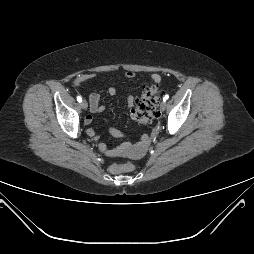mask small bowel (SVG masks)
<instances>
[{"label": "small bowel", "mask_w": 254, "mask_h": 254, "mask_svg": "<svg viewBox=\"0 0 254 254\" xmlns=\"http://www.w3.org/2000/svg\"><path fill=\"white\" fill-rule=\"evenodd\" d=\"M124 76L128 79L134 78L135 73L133 71H125L124 72ZM96 77L95 74H84L80 77H78L75 80V85L78 86L81 82L86 81V80H90V79H94ZM152 80L155 83H159L160 82V76L158 74H152L151 75ZM108 93L112 96L116 95L117 93V89L115 87H110L108 89ZM126 103L128 107H133L135 104V99L133 96L131 95H127L126 96ZM89 107H90V112L91 113H102L105 108L103 106L100 105V95L96 92L91 93L89 96ZM93 121V116L92 114H88L86 115L84 122L86 125H90ZM109 132L114 135V136H121V133L113 128H109ZM87 134L88 136H90L91 138L95 139V140H99L100 137L96 134L95 130L91 127L87 128ZM147 143V138H142L141 142L137 145V146H131V145H125L116 149H110L107 147V145L105 143H100L99 144V149L105 153L107 156H117L119 154H121L123 151L129 150V151H140Z\"/></svg>", "instance_id": "small-bowel-1"}]
</instances>
